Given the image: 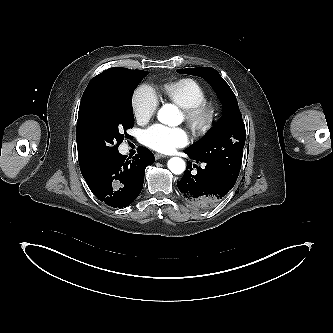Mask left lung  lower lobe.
<instances>
[{
    "mask_svg": "<svg viewBox=\"0 0 333 333\" xmlns=\"http://www.w3.org/2000/svg\"><path fill=\"white\" fill-rule=\"evenodd\" d=\"M196 163L203 162L204 168H197V174H192V164L188 162L185 173L177 182L181 196L188 204L200 208L210 209L218 204L233 188L237 179L226 175L221 169L193 156L188 150L184 151Z\"/></svg>",
    "mask_w": 333,
    "mask_h": 333,
    "instance_id": "0a47b994",
    "label": "left lung lower lobe"
}]
</instances>
